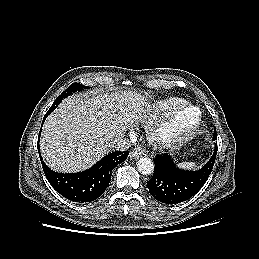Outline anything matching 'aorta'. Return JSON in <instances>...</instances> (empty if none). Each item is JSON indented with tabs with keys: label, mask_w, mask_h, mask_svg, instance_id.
Here are the masks:
<instances>
[{
	"label": "aorta",
	"mask_w": 259,
	"mask_h": 259,
	"mask_svg": "<svg viewBox=\"0 0 259 259\" xmlns=\"http://www.w3.org/2000/svg\"><path fill=\"white\" fill-rule=\"evenodd\" d=\"M137 168L143 175H149L154 171V163L149 157H142L137 161Z\"/></svg>",
	"instance_id": "aorta-1"
}]
</instances>
